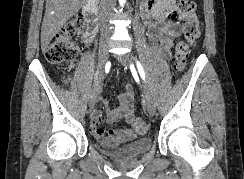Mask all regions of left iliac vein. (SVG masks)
Wrapping results in <instances>:
<instances>
[{
    "label": "left iliac vein",
    "instance_id": "obj_1",
    "mask_svg": "<svg viewBox=\"0 0 244 179\" xmlns=\"http://www.w3.org/2000/svg\"><path fill=\"white\" fill-rule=\"evenodd\" d=\"M118 61L124 66H129L131 63L134 65V61L129 54L118 56ZM143 93L145 96V107L148 113L153 116L156 112V103L148 85L144 86Z\"/></svg>",
    "mask_w": 244,
    "mask_h": 179
}]
</instances>
